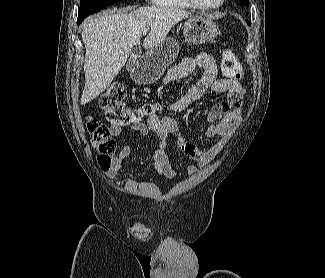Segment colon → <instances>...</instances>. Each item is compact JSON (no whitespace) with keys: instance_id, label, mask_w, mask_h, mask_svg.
Segmentation results:
<instances>
[{"instance_id":"obj_1","label":"colon","mask_w":325,"mask_h":278,"mask_svg":"<svg viewBox=\"0 0 325 278\" xmlns=\"http://www.w3.org/2000/svg\"><path fill=\"white\" fill-rule=\"evenodd\" d=\"M222 71L233 81L242 78L243 69L237 56L230 50L222 51ZM127 93L122 85H113L104 91L98 99L99 106L104 110L108 121L119 126L139 123L145 116H151L161 110L158 103H148L139 108H130L126 104ZM86 126L91 141L98 152L97 160L102 169L111 165L112 156L116 151V142L107 125L100 120L88 117Z\"/></svg>"}]
</instances>
